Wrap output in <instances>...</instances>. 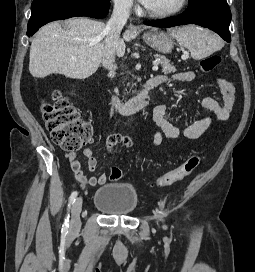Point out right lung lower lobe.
Segmentation results:
<instances>
[{
  "label": "right lung lower lobe",
  "mask_w": 255,
  "mask_h": 272,
  "mask_svg": "<svg viewBox=\"0 0 255 272\" xmlns=\"http://www.w3.org/2000/svg\"><path fill=\"white\" fill-rule=\"evenodd\" d=\"M110 8V0H34L27 35L31 37L48 22L74 16L104 18Z\"/></svg>",
  "instance_id": "1"
}]
</instances>
